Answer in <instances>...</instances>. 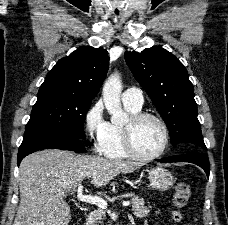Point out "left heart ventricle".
Instances as JSON below:
<instances>
[{
  "label": "left heart ventricle",
  "instance_id": "obj_1",
  "mask_svg": "<svg viewBox=\"0 0 228 225\" xmlns=\"http://www.w3.org/2000/svg\"><path fill=\"white\" fill-rule=\"evenodd\" d=\"M135 143L145 155L159 152L164 143V131L160 123L153 119L141 122L135 129Z\"/></svg>",
  "mask_w": 228,
  "mask_h": 225
}]
</instances>
